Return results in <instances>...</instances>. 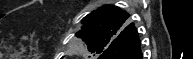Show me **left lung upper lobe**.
Here are the masks:
<instances>
[{
    "instance_id": "obj_1",
    "label": "left lung upper lobe",
    "mask_w": 193,
    "mask_h": 59,
    "mask_svg": "<svg viewBox=\"0 0 193 59\" xmlns=\"http://www.w3.org/2000/svg\"><path fill=\"white\" fill-rule=\"evenodd\" d=\"M128 19L129 14L119 7L103 6L82 19L84 25L75 35L85 41L87 51L102 55L120 39L123 31L129 26Z\"/></svg>"
}]
</instances>
